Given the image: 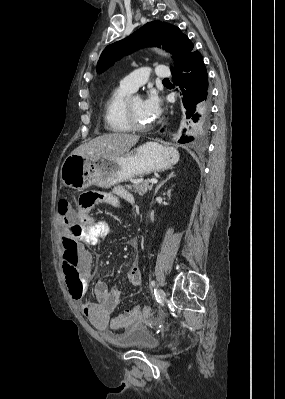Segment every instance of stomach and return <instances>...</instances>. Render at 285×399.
I'll list each match as a JSON object with an SVG mask.
<instances>
[{"label":"stomach","instance_id":"1","mask_svg":"<svg viewBox=\"0 0 285 399\" xmlns=\"http://www.w3.org/2000/svg\"><path fill=\"white\" fill-rule=\"evenodd\" d=\"M178 153L155 142L146 143L134 151L115 157L95 160L71 154L64 160L60 178L62 183L75 190L97 185L110 187L135 176L152 171H165L177 163Z\"/></svg>","mask_w":285,"mask_h":399}]
</instances>
